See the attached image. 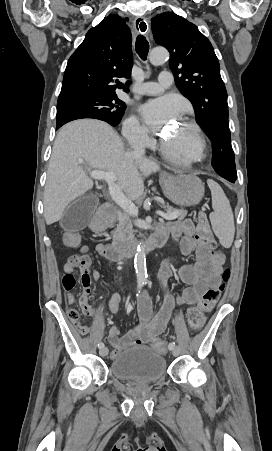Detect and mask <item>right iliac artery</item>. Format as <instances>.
<instances>
[{"label": "right iliac artery", "mask_w": 272, "mask_h": 451, "mask_svg": "<svg viewBox=\"0 0 272 451\" xmlns=\"http://www.w3.org/2000/svg\"><path fill=\"white\" fill-rule=\"evenodd\" d=\"M143 285H144V282H138V287H137L136 296L139 295L140 289L142 288ZM98 347H99V349H101L102 347H104V343H103V342H100V343L98 344Z\"/></svg>", "instance_id": "obj_1"}]
</instances>
